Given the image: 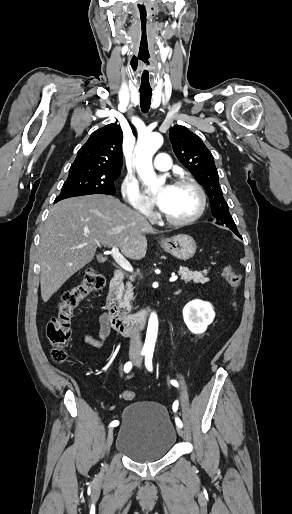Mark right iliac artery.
<instances>
[{
    "label": "right iliac artery",
    "instance_id": "obj_1",
    "mask_svg": "<svg viewBox=\"0 0 292 514\" xmlns=\"http://www.w3.org/2000/svg\"><path fill=\"white\" fill-rule=\"evenodd\" d=\"M145 354H146L145 352H142V355H145ZM132 366H133L132 362H130V361H129V362H127V363L124 365V371H125L126 373H129V372H130V370L132 369ZM118 424H119V421L114 420V421H112V422L110 423V425H109V426H110V427H115V426H117Z\"/></svg>",
    "mask_w": 292,
    "mask_h": 514
}]
</instances>
